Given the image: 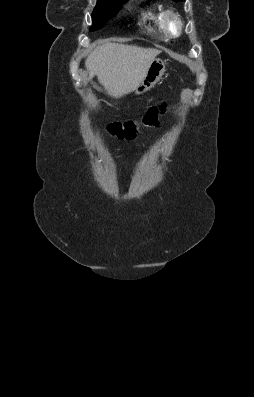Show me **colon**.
<instances>
[{"label": "colon", "mask_w": 254, "mask_h": 397, "mask_svg": "<svg viewBox=\"0 0 254 397\" xmlns=\"http://www.w3.org/2000/svg\"><path fill=\"white\" fill-rule=\"evenodd\" d=\"M166 109V103L150 107L139 122H114L108 126V131L120 139H133L141 128L155 127Z\"/></svg>", "instance_id": "colon-1"}]
</instances>
